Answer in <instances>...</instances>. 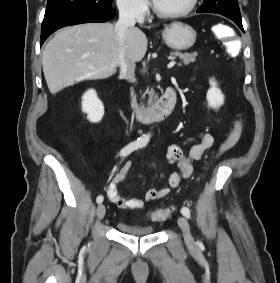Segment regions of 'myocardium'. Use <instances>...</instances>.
<instances>
[{
    "label": "myocardium",
    "mask_w": 280,
    "mask_h": 283,
    "mask_svg": "<svg viewBox=\"0 0 280 283\" xmlns=\"http://www.w3.org/2000/svg\"><path fill=\"white\" fill-rule=\"evenodd\" d=\"M197 2L198 0H190L188 6L185 9L174 13H164L159 11L155 6L154 2L152 3V9L155 15L161 19H178L190 14L196 7Z\"/></svg>",
    "instance_id": "f54148a6"
}]
</instances>
